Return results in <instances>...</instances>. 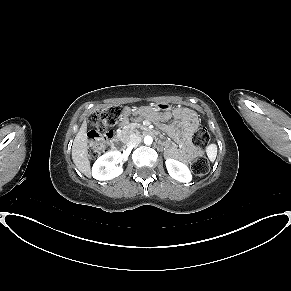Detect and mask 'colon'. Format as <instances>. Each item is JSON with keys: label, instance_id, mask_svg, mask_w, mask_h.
Returning <instances> with one entry per match:
<instances>
[{"label": "colon", "instance_id": "colon-1", "mask_svg": "<svg viewBox=\"0 0 291 291\" xmlns=\"http://www.w3.org/2000/svg\"><path fill=\"white\" fill-rule=\"evenodd\" d=\"M124 110L120 106H109L98 110L91 118L94 127L88 134L89 154L91 157H99L111 151V142L114 133L111 130L123 116ZM210 135L206 127L198 128L192 137V145L195 148H205ZM192 170L197 175H204L209 170V162L205 156H198Z\"/></svg>", "mask_w": 291, "mask_h": 291}]
</instances>
